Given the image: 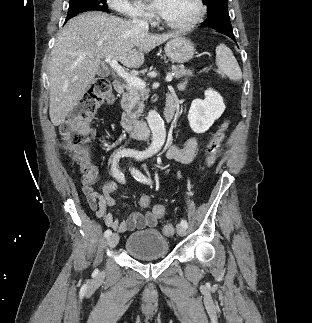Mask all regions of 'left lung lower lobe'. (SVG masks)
<instances>
[{"label":"left lung lower lobe","mask_w":312,"mask_h":323,"mask_svg":"<svg viewBox=\"0 0 312 323\" xmlns=\"http://www.w3.org/2000/svg\"><path fill=\"white\" fill-rule=\"evenodd\" d=\"M216 31H218L219 33L225 34V35L229 36L230 38H232L234 41H236L232 30H229V29H218Z\"/></svg>","instance_id":"0a47b994"}]
</instances>
